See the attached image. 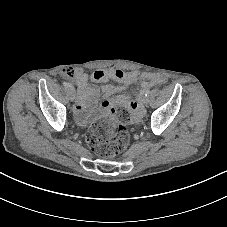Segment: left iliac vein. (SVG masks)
Returning a JSON list of instances; mask_svg holds the SVG:
<instances>
[{"label":"left iliac vein","instance_id":"obj_1","mask_svg":"<svg viewBox=\"0 0 227 227\" xmlns=\"http://www.w3.org/2000/svg\"><path fill=\"white\" fill-rule=\"evenodd\" d=\"M143 103H144L145 105H147V104L149 103V98H148V97H144Z\"/></svg>","mask_w":227,"mask_h":227}]
</instances>
